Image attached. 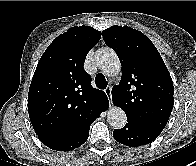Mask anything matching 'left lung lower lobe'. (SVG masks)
Wrapping results in <instances>:
<instances>
[{"label": "left lung lower lobe", "instance_id": "0a47b994", "mask_svg": "<svg viewBox=\"0 0 196 166\" xmlns=\"http://www.w3.org/2000/svg\"><path fill=\"white\" fill-rule=\"evenodd\" d=\"M160 133V131L139 126L132 121H127L125 127L114 130L113 136L117 142L134 147L152 142Z\"/></svg>", "mask_w": 196, "mask_h": 166}]
</instances>
